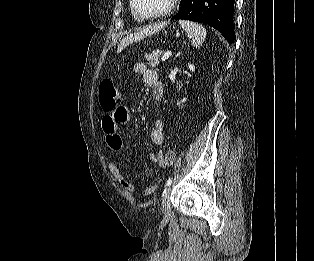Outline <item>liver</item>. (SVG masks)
I'll use <instances>...</instances> for the list:
<instances>
[{
	"label": "liver",
	"instance_id": "obj_1",
	"mask_svg": "<svg viewBox=\"0 0 314 261\" xmlns=\"http://www.w3.org/2000/svg\"><path fill=\"white\" fill-rule=\"evenodd\" d=\"M151 31L149 30V28L142 30L138 33L135 34H130L127 37H125L120 45L118 46L117 52L120 53L126 46H128L129 44H131L132 42L138 41L143 39L144 37H146Z\"/></svg>",
	"mask_w": 314,
	"mask_h": 261
}]
</instances>
